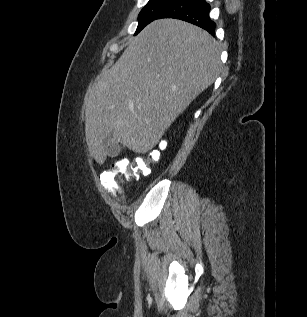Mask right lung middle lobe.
I'll return each instance as SVG.
<instances>
[{"label":"right lung middle lobe","instance_id":"dd1d6c3e","mask_svg":"<svg viewBox=\"0 0 307 317\" xmlns=\"http://www.w3.org/2000/svg\"><path fill=\"white\" fill-rule=\"evenodd\" d=\"M173 0H149L138 16V27L135 35L140 32L147 24L155 20Z\"/></svg>","mask_w":307,"mask_h":317}]
</instances>
